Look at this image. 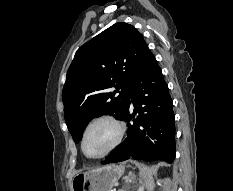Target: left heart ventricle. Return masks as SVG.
I'll list each match as a JSON object with an SVG mask.
<instances>
[{
    "instance_id": "1",
    "label": "left heart ventricle",
    "mask_w": 233,
    "mask_h": 191,
    "mask_svg": "<svg viewBox=\"0 0 233 191\" xmlns=\"http://www.w3.org/2000/svg\"><path fill=\"white\" fill-rule=\"evenodd\" d=\"M116 137L115 127L108 122H98L92 125L85 138V150L89 155L102 154Z\"/></svg>"
}]
</instances>
